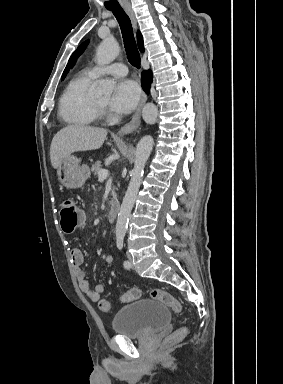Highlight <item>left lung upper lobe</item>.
I'll use <instances>...</instances> for the list:
<instances>
[{
	"mask_svg": "<svg viewBox=\"0 0 283 384\" xmlns=\"http://www.w3.org/2000/svg\"><path fill=\"white\" fill-rule=\"evenodd\" d=\"M88 44V41H85L84 43H82L77 49L76 51L72 54V56L70 57L69 59V62L64 70V73L62 75V78L61 80H63L69 70V67L70 65L74 62V60L84 51L85 47L87 46Z\"/></svg>",
	"mask_w": 283,
	"mask_h": 384,
	"instance_id": "5c2ea615",
	"label": "left lung upper lobe"
}]
</instances>
